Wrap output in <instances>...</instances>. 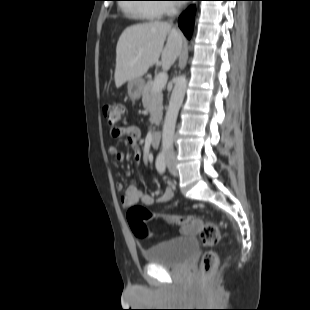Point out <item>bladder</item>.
Wrapping results in <instances>:
<instances>
[{"instance_id":"1","label":"bladder","mask_w":310,"mask_h":310,"mask_svg":"<svg viewBox=\"0 0 310 310\" xmlns=\"http://www.w3.org/2000/svg\"><path fill=\"white\" fill-rule=\"evenodd\" d=\"M198 251L199 244L193 237H175L152 245L144 257L150 264L181 266L192 260Z\"/></svg>"}]
</instances>
